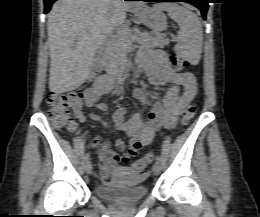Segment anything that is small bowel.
I'll return each mask as SVG.
<instances>
[{
	"label": "small bowel",
	"mask_w": 260,
	"mask_h": 217,
	"mask_svg": "<svg viewBox=\"0 0 260 217\" xmlns=\"http://www.w3.org/2000/svg\"><path fill=\"white\" fill-rule=\"evenodd\" d=\"M139 72L145 71L151 83L160 86H167L165 96L161 100L150 97L145 87H137L133 95L142 104L151 106L147 118L143 119L139 113L134 114L128 120L125 119L126 108L118 107L113 114V123L117 130L126 133L130 137V148L128 154L124 151L125 143L118 139L115 142L116 150H105L100 155L101 169L100 177L108 180L109 176L119 168L120 163L128 162L138 151L149 145L154 134L161 128H174L178 122L179 114L192 101L197 85L194 76L190 73L174 71L167 61L163 51H142L138 56ZM106 92L90 87L85 92V105L98 111H105L106 105L99 102V99ZM83 104L73 107L74 116L81 123L88 119L100 122L104 127L108 123L99 115L85 114L82 111Z\"/></svg>",
	"instance_id": "small-bowel-1"
}]
</instances>
